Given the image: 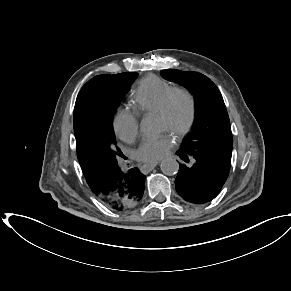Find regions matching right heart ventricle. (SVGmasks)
I'll return each mask as SVG.
<instances>
[{"mask_svg":"<svg viewBox=\"0 0 291 291\" xmlns=\"http://www.w3.org/2000/svg\"><path fill=\"white\" fill-rule=\"evenodd\" d=\"M172 83L155 75H148L141 79L132 96L131 108L136 115L157 113L174 89Z\"/></svg>","mask_w":291,"mask_h":291,"instance_id":"1","label":"right heart ventricle"}]
</instances>
